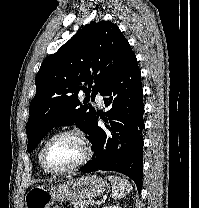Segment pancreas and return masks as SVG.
<instances>
[{"label": "pancreas", "instance_id": "cf45deb5", "mask_svg": "<svg viewBox=\"0 0 199 208\" xmlns=\"http://www.w3.org/2000/svg\"><path fill=\"white\" fill-rule=\"evenodd\" d=\"M92 205H94V201L92 199L73 202L74 208H87Z\"/></svg>", "mask_w": 199, "mask_h": 208}]
</instances>
